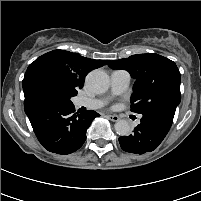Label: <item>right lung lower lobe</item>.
Returning <instances> with one entry per match:
<instances>
[{
    "label": "right lung lower lobe",
    "instance_id": "98d812e1",
    "mask_svg": "<svg viewBox=\"0 0 201 201\" xmlns=\"http://www.w3.org/2000/svg\"><path fill=\"white\" fill-rule=\"evenodd\" d=\"M35 135L45 149L58 154L78 150L86 139V130L99 114L95 111L76 114L73 103H62L36 96L24 102Z\"/></svg>",
    "mask_w": 201,
    "mask_h": 201
}]
</instances>
